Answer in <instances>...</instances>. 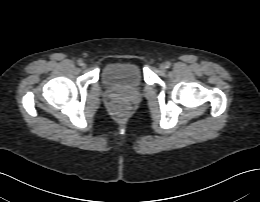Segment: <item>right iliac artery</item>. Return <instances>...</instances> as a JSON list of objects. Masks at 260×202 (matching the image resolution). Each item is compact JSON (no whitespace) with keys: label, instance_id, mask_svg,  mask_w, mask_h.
Returning a JSON list of instances; mask_svg holds the SVG:
<instances>
[{"label":"right iliac artery","instance_id":"obj_1","mask_svg":"<svg viewBox=\"0 0 260 202\" xmlns=\"http://www.w3.org/2000/svg\"><path fill=\"white\" fill-rule=\"evenodd\" d=\"M77 64H78L79 66H81V65L83 64V61H82L81 59H79V60L77 61Z\"/></svg>","mask_w":260,"mask_h":202}]
</instances>
